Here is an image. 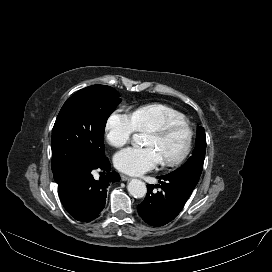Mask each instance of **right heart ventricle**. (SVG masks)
<instances>
[{"mask_svg": "<svg viewBox=\"0 0 272 272\" xmlns=\"http://www.w3.org/2000/svg\"><path fill=\"white\" fill-rule=\"evenodd\" d=\"M132 116L140 132H149L171 122H187L181 112L161 103L140 106L132 111Z\"/></svg>", "mask_w": 272, "mask_h": 272, "instance_id": "right-heart-ventricle-1", "label": "right heart ventricle"}]
</instances>
